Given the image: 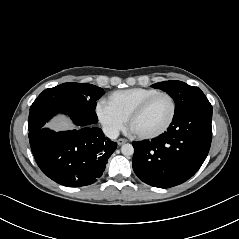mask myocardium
Masks as SVG:
<instances>
[{
	"label": "myocardium",
	"mask_w": 239,
	"mask_h": 239,
	"mask_svg": "<svg viewBox=\"0 0 239 239\" xmlns=\"http://www.w3.org/2000/svg\"><path fill=\"white\" fill-rule=\"evenodd\" d=\"M158 96H166L172 105V113L171 116L168 120V122L159 130L152 132V133H147V134H135L136 137H138L139 139H154L157 138L161 135H163L164 133H166L170 127L172 126V124L174 123V120L176 118V114H177V103L175 98L168 92L165 91H158L148 97H146L145 99H143L140 103H138L133 109L132 111L129 113L128 117H127V126L130 128V125L132 123V121L147 107V105L154 100L156 97Z\"/></svg>",
	"instance_id": "f54148a6"
}]
</instances>
